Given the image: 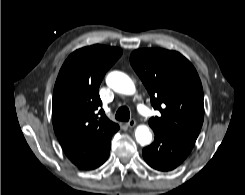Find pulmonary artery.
<instances>
[{
	"mask_svg": "<svg viewBox=\"0 0 245 195\" xmlns=\"http://www.w3.org/2000/svg\"><path fill=\"white\" fill-rule=\"evenodd\" d=\"M138 109H139L140 113L143 114V115L147 116V115L150 114V111L147 108L143 107V106H139Z\"/></svg>",
	"mask_w": 245,
	"mask_h": 195,
	"instance_id": "e3ab8cb5",
	"label": "pulmonary artery"
}]
</instances>
